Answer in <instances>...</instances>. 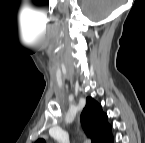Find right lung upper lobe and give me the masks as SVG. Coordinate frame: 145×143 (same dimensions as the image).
I'll list each match as a JSON object with an SVG mask.
<instances>
[{
	"label": "right lung upper lobe",
	"instance_id": "cb5924a9",
	"mask_svg": "<svg viewBox=\"0 0 145 143\" xmlns=\"http://www.w3.org/2000/svg\"><path fill=\"white\" fill-rule=\"evenodd\" d=\"M81 124L91 143H111V126L107 122V115L101 106L91 97H87L86 106L81 113ZM38 143H45L39 139Z\"/></svg>",
	"mask_w": 145,
	"mask_h": 143
}]
</instances>
